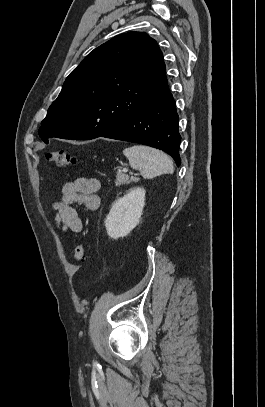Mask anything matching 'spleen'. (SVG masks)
Returning a JSON list of instances; mask_svg holds the SVG:
<instances>
[{"label": "spleen", "instance_id": "obj_1", "mask_svg": "<svg viewBox=\"0 0 265 407\" xmlns=\"http://www.w3.org/2000/svg\"><path fill=\"white\" fill-rule=\"evenodd\" d=\"M123 154L128 158L133 169L141 172L144 178L150 179L174 171L171 158L164 152L145 145H134L125 148Z\"/></svg>", "mask_w": 265, "mask_h": 407}]
</instances>
